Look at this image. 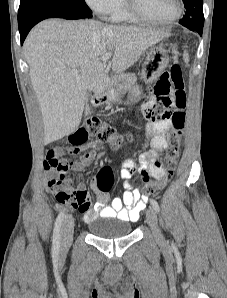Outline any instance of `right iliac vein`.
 <instances>
[{
    "label": "right iliac vein",
    "instance_id": "obj_1",
    "mask_svg": "<svg viewBox=\"0 0 227 298\" xmlns=\"http://www.w3.org/2000/svg\"><path fill=\"white\" fill-rule=\"evenodd\" d=\"M74 232V219L71 216H67L62 225L61 231V246L62 249H66L70 246L73 239Z\"/></svg>",
    "mask_w": 227,
    "mask_h": 298
}]
</instances>
